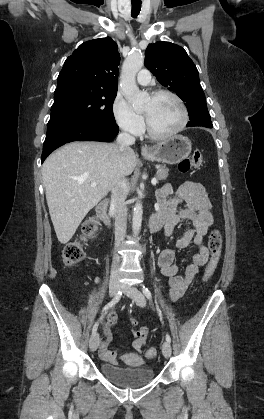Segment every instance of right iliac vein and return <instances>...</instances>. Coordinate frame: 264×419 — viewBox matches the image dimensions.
Returning a JSON list of instances; mask_svg holds the SVG:
<instances>
[{
  "instance_id": "1",
  "label": "right iliac vein",
  "mask_w": 264,
  "mask_h": 419,
  "mask_svg": "<svg viewBox=\"0 0 264 419\" xmlns=\"http://www.w3.org/2000/svg\"><path fill=\"white\" fill-rule=\"evenodd\" d=\"M120 287H121V284L119 282V279L117 277L113 278L109 284L110 296L116 295ZM98 345H99V335L98 333H94L89 340V347L91 351H95L98 348Z\"/></svg>"
}]
</instances>
